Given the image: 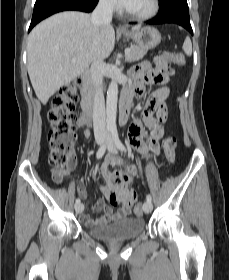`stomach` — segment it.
Here are the masks:
<instances>
[{"label":"stomach","mask_w":229,"mask_h":280,"mask_svg":"<svg viewBox=\"0 0 229 280\" xmlns=\"http://www.w3.org/2000/svg\"><path fill=\"white\" fill-rule=\"evenodd\" d=\"M126 37L131 38L140 48L152 49L161 42V34L154 27H143L132 32H126Z\"/></svg>","instance_id":"0dacf381"}]
</instances>
